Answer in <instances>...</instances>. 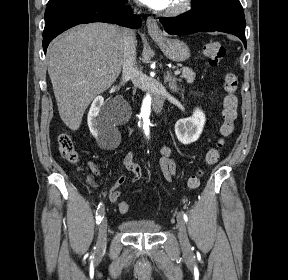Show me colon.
I'll list each match as a JSON object with an SVG mask.
<instances>
[{
	"label": "colon",
	"instance_id": "5ec220e1",
	"mask_svg": "<svg viewBox=\"0 0 288 280\" xmlns=\"http://www.w3.org/2000/svg\"><path fill=\"white\" fill-rule=\"evenodd\" d=\"M226 50L224 46L217 41H209L203 47V54L210 66H217L224 58ZM223 87L225 95L223 98L222 109V138L218 141L217 146L211 148L205 155V165L211 166L218 162L220 157V150L224 146V138L230 136L234 131V123L237 117L238 98L237 91V77L234 73H228L224 76ZM58 148L61 156L68 162L75 164L79 161V155L75 148V144L71 136L67 133H61L58 136ZM203 170L199 169L195 174L190 176L187 180V187L189 189H196L199 187ZM120 210L124 213L129 211V205L122 202Z\"/></svg>",
	"mask_w": 288,
	"mask_h": 280
}]
</instances>
